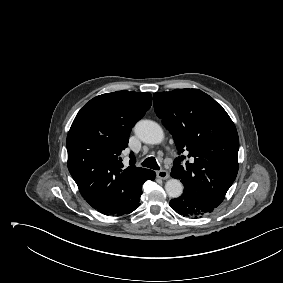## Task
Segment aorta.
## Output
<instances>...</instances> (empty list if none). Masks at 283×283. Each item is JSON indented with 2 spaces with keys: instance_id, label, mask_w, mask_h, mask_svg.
Returning a JSON list of instances; mask_svg holds the SVG:
<instances>
[{
  "instance_id": "aorta-1",
  "label": "aorta",
  "mask_w": 283,
  "mask_h": 283,
  "mask_svg": "<svg viewBox=\"0 0 283 283\" xmlns=\"http://www.w3.org/2000/svg\"><path fill=\"white\" fill-rule=\"evenodd\" d=\"M136 136L144 143L159 144L164 139V132L161 126L151 120H141L135 126ZM166 193L177 198L183 192V185L178 179H169L165 184Z\"/></svg>"
}]
</instances>
